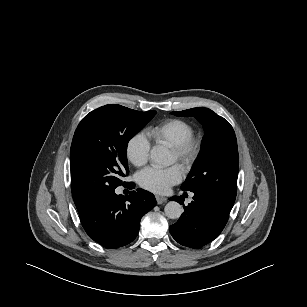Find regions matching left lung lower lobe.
I'll use <instances>...</instances> for the list:
<instances>
[{"instance_id":"left-lung-lower-lobe-1","label":"left lung lower lobe","mask_w":307,"mask_h":307,"mask_svg":"<svg viewBox=\"0 0 307 307\" xmlns=\"http://www.w3.org/2000/svg\"><path fill=\"white\" fill-rule=\"evenodd\" d=\"M193 201L184 206L180 219L169 227L172 237L181 245L198 248L214 240L225 227L230 209L207 194L195 192ZM180 204L182 196L171 197Z\"/></svg>"}]
</instances>
